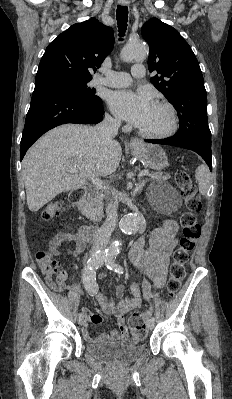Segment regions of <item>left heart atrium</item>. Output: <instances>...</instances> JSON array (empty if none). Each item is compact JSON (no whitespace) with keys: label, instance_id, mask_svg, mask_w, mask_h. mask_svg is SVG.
I'll use <instances>...</instances> for the list:
<instances>
[{"label":"left heart atrium","instance_id":"1","mask_svg":"<svg viewBox=\"0 0 232 399\" xmlns=\"http://www.w3.org/2000/svg\"><path fill=\"white\" fill-rule=\"evenodd\" d=\"M109 105L116 116L138 127L149 115L153 104L144 94L114 92L109 98Z\"/></svg>","mask_w":232,"mask_h":399}]
</instances>
